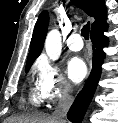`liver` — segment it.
<instances>
[{
    "mask_svg": "<svg viewBox=\"0 0 118 123\" xmlns=\"http://www.w3.org/2000/svg\"><path fill=\"white\" fill-rule=\"evenodd\" d=\"M4 123H61L53 116L34 113L20 116L9 117Z\"/></svg>",
    "mask_w": 118,
    "mask_h": 123,
    "instance_id": "6515ba94",
    "label": "liver"
}]
</instances>
